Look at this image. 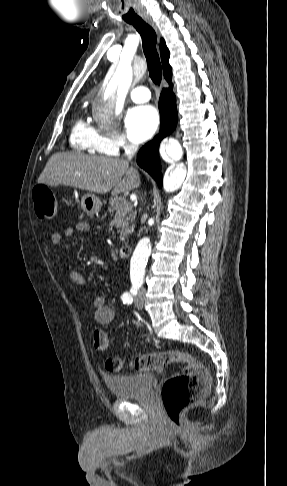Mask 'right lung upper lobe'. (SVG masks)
Wrapping results in <instances>:
<instances>
[{
    "instance_id": "obj_1",
    "label": "right lung upper lobe",
    "mask_w": 287,
    "mask_h": 486,
    "mask_svg": "<svg viewBox=\"0 0 287 486\" xmlns=\"http://www.w3.org/2000/svg\"><path fill=\"white\" fill-rule=\"evenodd\" d=\"M160 54H161V60H162V65H163V72H164V77L167 81H171L172 79V68L169 65V50L166 47L165 41L161 39L160 41Z\"/></svg>"
}]
</instances>
